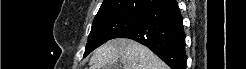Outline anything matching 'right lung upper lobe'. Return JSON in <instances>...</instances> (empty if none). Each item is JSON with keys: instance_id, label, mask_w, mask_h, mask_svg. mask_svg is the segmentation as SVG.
Masks as SVG:
<instances>
[{"instance_id": "right-lung-upper-lobe-1", "label": "right lung upper lobe", "mask_w": 246, "mask_h": 69, "mask_svg": "<svg viewBox=\"0 0 246 69\" xmlns=\"http://www.w3.org/2000/svg\"><path fill=\"white\" fill-rule=\"evenodd\" d=\"M169 0H104L95 19L122 14H143Z\"/></svg>"}]
</instances>
